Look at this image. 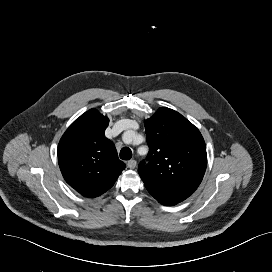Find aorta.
Masks as SVG:
<instances>
[{"label":"aorta","instance_id":"762f6f07","mask_svg":"<svg viewBox=\"0 0 272 272\" xmlns=\"http://www.w3.org/2000/svg\"><path fill=\"white\" fill-rule=\"evenodd\" d=\"M125 135H131V136L134 137L136 134H135V132H133V131H128V132H126ZM125 135H124V138H125Z\"/></svg>","mask_w":272,"mask_h":272}]
</instances>
